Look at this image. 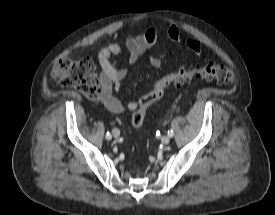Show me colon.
I'll list each match as a JSON object with an SVG mask.
<instances>
[{
    "mask_svg": "<svg viewBox=\"0 0 275 215\" xmlns=\"http://www.w3.org/2000/svg\"><path fill=\"white\" fill-rule=\"evenodd\" d=\"M53 73L62 86L77 89L88 99L95 100L102 96L103 89L90 57L85 56L75 60L59 59L54 65ZM234 79L232 70L220 64L206 63L193 68L181 67L178 71L159 79L153 90L139 100L132 115V124L140 129L147 107L160 100L168 89L179 87L193 80H214L220 84H232Z\"/></svg>",
    "mask_w": 275,
    "mask_h": 215,
    "instance_id": "colon-1",
    "label": "colon"
}]
</instances>
